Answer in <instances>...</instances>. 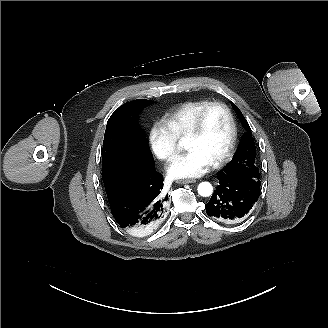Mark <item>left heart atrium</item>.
Masks as SVG:
<instances>
[{"instance_id": "obj_1", "label": "left heart atrium", "mask_w": 328, "mask_h": 328, "mask_svg": "<svg viewBox=\"0 0 328 328\" xmlns=\"http://www.w3.org/2000/svg\"><path fill=\"white\" fill-rule=\"evenodd\" d=\"M211 165V161L204 154L191 149L172 159L166 165V171L173 178H194L205 174Z\"/></svg>"}]
</instances>
